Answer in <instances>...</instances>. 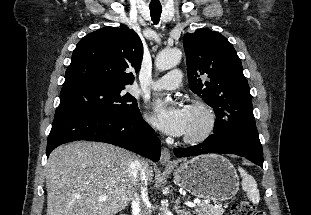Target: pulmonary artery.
<instances>
[{"mask_svg": "<svg viewBox=\"0 0 311 215\" xmlns=\"http://www.w3.org/2000/svg\"><path fill=\"white\" fill-rule=\"evenodd\" d=\"M182 73L179 69H174L168 72L163 77L155 80L151 84L154 90H174L181 85Z\"/></svg>", "mask_w": 311, "mask_h": 215, "instance_id": "pulmonary-artery-1", "label": "pulmonary artery"}]
</instances>
